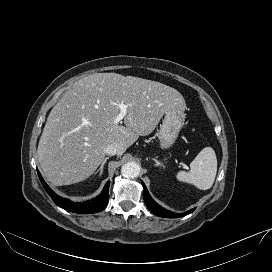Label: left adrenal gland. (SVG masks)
Segmentation results:
<instances>
[{
	"mask_svg": "<svg viewBox=\"0 0 272 272\" xmlns=\"http://www.w3.org/2000/svg\"><path fill=\"white\" fill-rule=\"evenodd\" d=\"M152 160L155 162V166H163V162L157 160L156 158H152Z\"/></svg>",
	"mask_w": 272,
	"mask_h": 272,
	"instance_id": "1",
	"label": "left adrenal gland"
}]
</instances>
